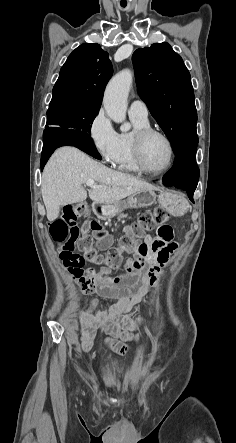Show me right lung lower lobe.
<instances>
[{
	"mask_svg": "<svg viewBox=\"0 0 236 443\" xmlns=\"http://www.w3.org/2000/svg\"><path fill=\"white\" fill-rule=\"evenodd\" d=\"M66 129L55 128L45 130L43 133V150L41 157V169L43 170L54 150L60 146H75L96 159L101 160L92 140L65 132Z\"/></svg>",
	"mask_w": 236,
	"mask_h": 443,
	"instance_id": "98d812e1",
	"label": "right lung lower lobe"
}]
</instances>
